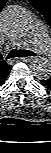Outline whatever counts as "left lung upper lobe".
Instances as JSON below:
<instances>
[{
  "mask_svg": "<svg viewBox=\"0 0 51 153\" xmlns=\"http://www.w3.org/2000/svg\"><path fill=\"white\" fill-rule=\"evenodd\" d=\"M51 26V0H28Z\"/></svg>",
  "mask_w": 51,
  "mask_h": 153,
  "instance_id": "obj_1",
  "label": "left lung upper lobe"
}]
</instances>
